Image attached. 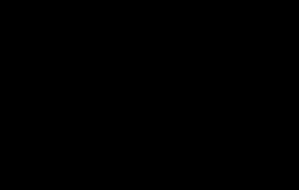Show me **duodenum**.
<instances>
[{"instance_id":"obj_1","label":"duodenum","mask_w":299,"mask_h":190,"mask_svg":"<svg viewBox=\"0 0 299 190\" xmlns=\"http://www.w3.org/2000/svg\"><path fill=\"white\" fill-rule=\"evenodd\" d=\"M135 79V76L133 74H128L124 77L123 81L125 84H130Z\"/></svg>"}]
</instances>
